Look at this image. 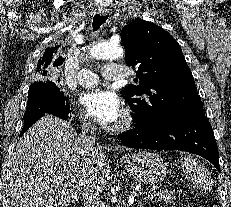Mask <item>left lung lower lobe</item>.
Returning a JSON list of instances; mask_svg holds the SVG:
<instances>
[{
    "label": "left lung lower lobe",
    "mask_w": 231,
    "mask_h": 207,
    "mask_svg": "<svg viewBox=\"0 0 231 207\" xmlns=\"http://www.w3.org/2000/svg\"><path fill=\"white\" fill-rule=\"evenodd\" d=\"M119 137L123 145L131 148L181 150L200 155L220 172L216 140L203 108L179 113L152 128L135 124V128Z\"/></svg>",
    "instance_id": "left-lung-lower-lobe-1"
}]
</instances>
